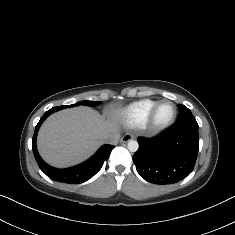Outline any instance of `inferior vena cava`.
<instances>
[{"instance_id": "inferior-vena-cava-1", "label": "inferior vena cava", "mask_w": 235, "mask_h": 235, "mask_svg": "<svg viewBox=\"0 0 235 235\" xmlns=\"http://www.w3.org/2000/svg\"><path fill=\"white\" fill-rule=\"evenodd\" d=\"M119 138H120L119 131H112L103 136L104 142L112 145L118 144Z\"/></svg>"}]
</instances>
